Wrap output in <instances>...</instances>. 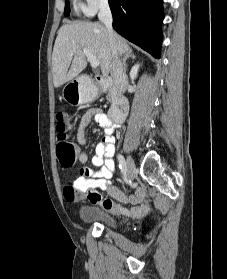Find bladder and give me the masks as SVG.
<instances>
[{"instance_id": "1", "label": "bladder", "mask_w": 227, "mask_h": 279, "mask_svg": "<svg viewBox=\"0 0 227 279\" xmlns=\"http://www.w3.org/2000/svg\"><path fill=\"white\" fill-rule=\"evenodd\" d=\"M79 219L83 224H101L104 227L115 230L117 229V220L111 215L98 209L95 203H90L82 207L79 213Z\"/></svg>"}]
</instances>
